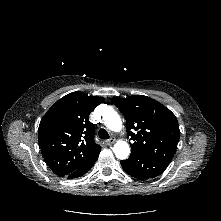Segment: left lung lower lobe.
Returning <instances> with one entry per match:
<instances>
[{
  "label": "left lung lower lobe",
  "instance_id": "1",
  "mask_svg": "<svg viewBox=\"0 0 221 221\" xmlns=\"http://www.w3.org/2000/svg\"><path fill=\"white\" fill-rule=\"evenodd\" d=\"M122 168L130 176L145 180L162 174L169 163L159 160H144L139 157L130 156L127 160L121 161Z\"/></svg>",
  "mask_w": 221,
  "mask_h": 221
}]
</instances>
